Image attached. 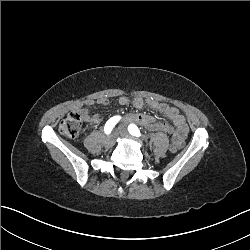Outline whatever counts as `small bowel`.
<instances>
[{"label":"small bowel","instance_id":"c3829d8e","mask_svg":"<svg viewBox=\"0 0 250 250\" xmlns=\"http://www.w3.org/2000/svg\"><path fill=\"white\" fill-rule=\"evenodd\" d=\"M97 103L100 105H107L109 101L106 98H101L97 101ZM119 103L122 106H126L133 103L134 107L138 109L143 107V100L141 98H136L134 100H131L126 96H122L119 99ZM146 103L151 109L169 118L172 121V123L160 122L157 121L153 116L141 113H130L126 115L125 120L128 122H134L142 127H145L150 131L172 133L173 134L172 140H177L179 146H181L188 134V126L186 124L184 116L178 111L177 108L165 103L158 102L155 99L148 98L146 99ZM94 105H95L94 101H89L85 107L79 108L77 111L82 119L97 124L101 121V117L96 114L95 115L88 114V109L90 107H93Z\"/></svg>","mask_w":250,"mask_h":250}]
</instances>
